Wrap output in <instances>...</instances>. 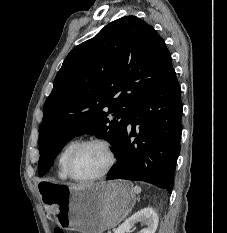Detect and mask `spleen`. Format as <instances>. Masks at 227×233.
Masks as SVG:
<instances>
[{
  "instance_id": "spleen-1",
  "label": "spleen",
  "mask_w": 227,
  "mask_h": 233,
  "mask_svg": "<svg viewBox=\"0 0 227 233\" xmlns=\"http://www.w3.org/2000/svg\"><path fill=\"white\" fill-rule=\"evenodd\" d=\"M133 191H134L136 194H138V193L141 192V187L135 186V187L133 188Z\"/></svg>"
}]
</instances>
